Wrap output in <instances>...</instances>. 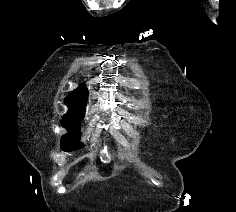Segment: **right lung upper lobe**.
<instances>
[{"label": "right lung upper lobe", "instance_id": "1", "mask_svg": "<svg viewBox=\"0 0 236 212\" xmlns=\"http://www.w3.org/2000/svg\"><path fill=\"white\" fill-rule=\"evenodd\" d=\"M88 91L84 85H80L65 98V104L69 111H85L87 105Z\"/></svg>", "mask_w": 236, "mask_h": 212}]
</instances>
